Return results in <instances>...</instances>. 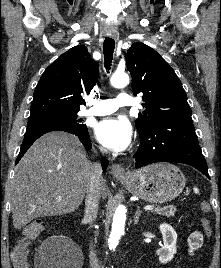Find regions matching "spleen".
<instances>
[{"label":"spleen","instance_id":"3e777b00","mask_svg":"<svg viewBox=\"0 0 221 268\" xmlns=\"http://www.w3.org/2000/svg\"><path fill=\"white\" fill-rule=\"evenodd\" d=\"M193 190H194V192H195L196 194L199 193V189H198L197 187H194Z\"/></svg>","mask_w":221,"mask_h":268}]
</instances>
